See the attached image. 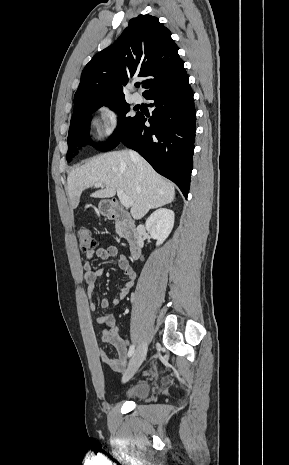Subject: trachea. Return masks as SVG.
<instances>
[{
    "label": "trachea",
    "mask_w": 289,
    "mask_h": 465,
    "mask_svg": "<svg viewBox=\"0 0 289 465\" xmlns=\"http://www.w3.org/2000/svg\"><path fill=\"white\" fill-rule=\"evenodd\" d=\"M135 86H136V87H139V86H140V84H139V83H136V84H135Z\"/></svg>",
    "instance_id": "trachea-1"
}]
</instances>
